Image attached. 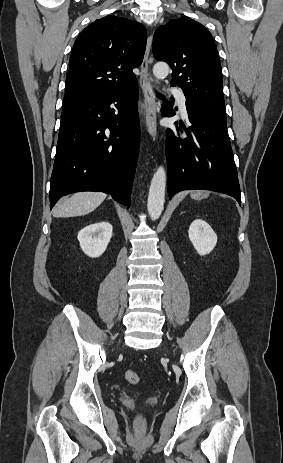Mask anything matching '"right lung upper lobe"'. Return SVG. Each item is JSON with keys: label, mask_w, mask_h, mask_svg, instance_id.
Listing matches in <instances>:
<instances>
[{"label": "right lung upper lobe", "mask_w": 283, "mask_h": 463, "mask_svg": "<svg viewBox=\"0 0 283 463\" xmlns=\"http://www.w3.org/2000/svg\"><path fill=\"white\" fill-rule=\"evenodd\" d=\"M145 27L127 18L106 16L76 39L66 77L63 111L137 83L132 70L143 60Z\"/></svg>", "instance_id": "cb5924a9"}]
</instances>
